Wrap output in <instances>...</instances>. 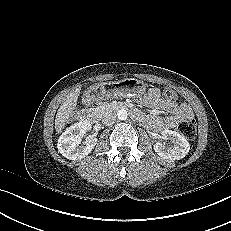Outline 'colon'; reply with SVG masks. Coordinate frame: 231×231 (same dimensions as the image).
Instances as JSON below:
<instances>
[{"label":"colon","mask_w":231,"mask_h":231,"mask_svg":"<svg viewBox=\"0 0 231 231\" xmlns=\"http://www.w3.org/2000/svg\"><path fill=\"white\" fill-rule=\"evenodd\" d=\"M164 95L167 99L176 100L177 94L171 88H166L164 90ZM179 132L187 139H193L196 136L197 128L196 123L193 119H188L182 121L178 126Z\"/></svg>","instance_id":"colon-1"}]
</instances>
